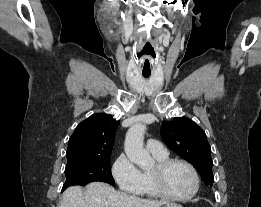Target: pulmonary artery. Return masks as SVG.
I'll list each match as a JSON object with an SVG mask.
<instances>
[{
  "label": "pulmonary artery",
  "mask_w": 261,
  "mask_h": 207,
  "mask_svg": "<svg viewBox=\"0 0 261 207\" xmlns=\"http://www.w3.org/2000/svg\"><path fill=\"white\" fill-rule=\"evenodd\" d=\"M147 149L152 155L166 156L168 155L167 149L157 140H149L147 142Z\"/></svg>",
  "instance_id": "pulmonary-artery-1"
}]
</instances>
